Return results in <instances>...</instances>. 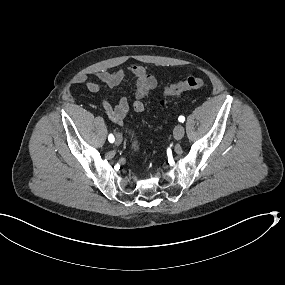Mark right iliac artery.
<instances>
[{"instance_id":"82829eb1","label":"right iliac artery","mask_w":285,"mask_h":285,"mask_svg":"<svg viewBox=\"0 0 285 285\" xmlns=\"http://www.w3.org/2000/svg\"><path fill=\"white\" fill-rule=\"evenodd\" d=\"M108 140H109L110 143H113L114 140H115V138H114V136H113L112 134H110V135L108 136Z\"/></svg>"}]
</instances>
